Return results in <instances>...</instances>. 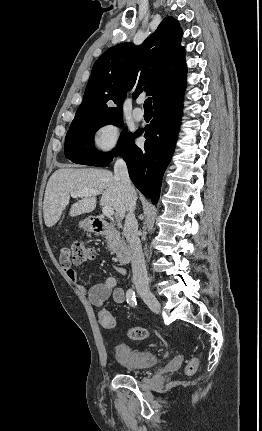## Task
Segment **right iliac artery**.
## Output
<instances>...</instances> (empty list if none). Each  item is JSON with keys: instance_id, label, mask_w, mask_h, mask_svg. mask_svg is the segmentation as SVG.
<instances>
[{"instance_id": "right-iliac-artery-1", "label": "right iliac artery", "mask_w": 262, "mask_h": 431, "mask_svg": "<svg viewBox=\"0 0 262 431\" xmlns=\"http://www.w3.org/2000/svg\"><path fill=\"white\" fill-rule=\"evenodd\" d=\"M126 297L127 303H129L132 307H135L137 305L135 292L132 289H129L127 291Z\"/></svg>"}]
</instances>
